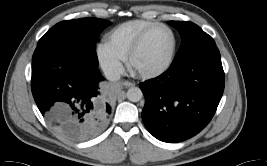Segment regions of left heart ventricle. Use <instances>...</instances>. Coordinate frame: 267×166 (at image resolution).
Wrapping results in <instances>:
<instances>
[{
  "label": "left heart ventricle",
  "mask_w": 267,
  "mask_h": 166,
  "mask_svg": "<svg viewBox=\"0 0 267 166\" xmlns=\"http://www.w3.org/2000/svg\"><path fill=\"white\" fill-rule=\"evenodd\" d=\"M173 38L169 30L159 28L144 41L141 49L133 59L138 71H152L162 67L169 59Z\"/></svg>",
  "instance_id": "obj_1"
}]
</instances>
